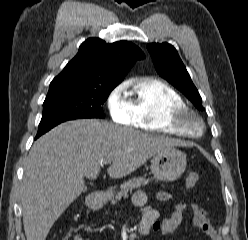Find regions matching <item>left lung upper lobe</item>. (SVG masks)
<instances>
[{
    "instance_id": "obj_1",
    "label": "left lung upper lobe",
    "mask_w": 248,
    "mask_h": 240,
    "mask_svg": "<svg viewBox=\"0 0 248 240\" xmlns=\"http://www.w3.org/2000/svg\"><path fill=\"white\" fill-rule=\"evenodd\" d=\"M147 48L158 74L180 90L199 110L203 111L202 98L193 84L177 50L168 43H150Z\"/></svg>"
}]
</instances>
